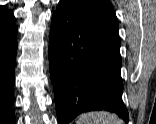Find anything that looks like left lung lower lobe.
<instances>
[{
	"label": "left lung lower lobe",
	"instance_id": "obj_1",
	"mask_svg": "<svg viewBox=\"0 0 156 124\" xmlns=\"http://www.w3.org/2000/svg\"><path fill=\"white\" fill-rule=\"evenodd\" d=\"M120 45L118 30L60 0L52 16L49 42L59 124L100 110L114 112L128 123L122 101Z\"/></svg>",
	"mask_w": 156,
	"mask_h": 124
}]
</instances>
